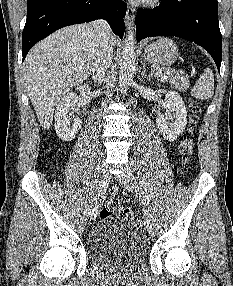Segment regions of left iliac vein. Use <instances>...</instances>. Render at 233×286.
Returning a JSON list of instances; mask_svg holds the SVG:
<instances>
[{"mask_svg":"<svg viewBox=\"0 0 233 286\" xmlns=\"http://www.w3.org/2000/svg\"><path fill=\"white\" fill-rule=\"evenodd\" d=\"M117 179L127 191L129 192L135 191V181H134V176L131 171L126 170L124 173L118 175ZM144 224H145L146 231L152 235L154 227H153L151 216L149 215L148 212L144 213Z\"/></svg>","mask_w":233,"mask_h":286,"instance_id":"left-iliac-vein-1","label":"left iliac vein"}]
</instances>
